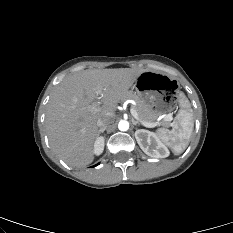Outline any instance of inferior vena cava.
Wrapping results in <instances>:
<instances>
[{"label":"inferior vena cava","mask_w":233,"mask_h":233,"mask_svg":"<svg viewBox=\"0 0 233 233\" xmlns=\"http://www.w3.org/2000/svg\"><path fill=\"white\" fill-rule=\"evenodd\" d=\"M111 123H113V119L110 116H105L98 119L97 126L101 128H106Z\"/></svg>","instance_id":"obj_1"}]
</instances>
